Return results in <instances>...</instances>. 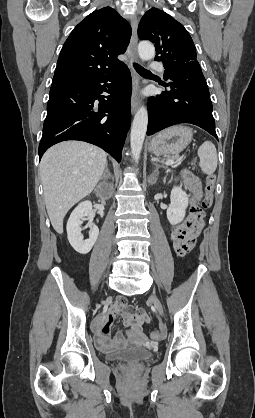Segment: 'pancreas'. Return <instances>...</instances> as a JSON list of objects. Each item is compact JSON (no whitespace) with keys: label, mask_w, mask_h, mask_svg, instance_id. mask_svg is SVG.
<instances>
[{"label":"pancreas","mask_w":255,"mask_h":418,"mask_svg":"<svg viewBox=\"0 0 255 418\" xmlns=\"http://www.w3.org/2000/svg\"><path fill=\"white\" fill-rule=\"evenodd\" d=\"M168 160L178 161L179 160V156L178 155L168 156Z\"/></svg>","instance_id":"1"}]
</instances>
